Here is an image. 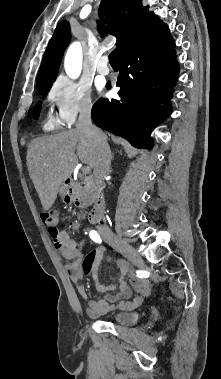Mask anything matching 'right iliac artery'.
<instances>
[{"instance_id": "obj_1", "label": "right iliac artery", "mask_w": 221, "mask_h": 379, "mask_svg": "<svg viewBox=\"0 0 221 379\" xmlns=\"http://www.w3.org/2000/svg\"><path fill=\"white\" fill-rule=\"evenodd\" d=\"M89 236L96 243H101L102 242L99 234L95 230L90 231Z\"/></svg>"}]
</instances>
